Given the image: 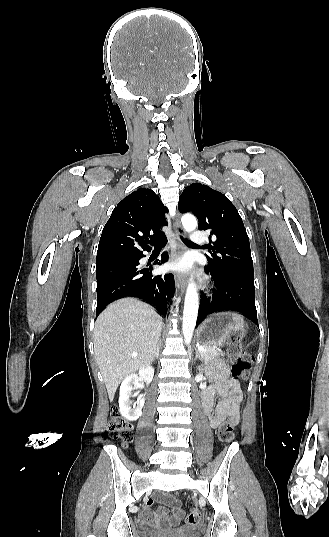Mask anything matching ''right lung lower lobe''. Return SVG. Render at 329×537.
Here are the masks:
<instances>
[{
    "label": "right lung lower lobe",
    "mask_w": 329,
    "mask_h": 537,
    "mask_svg": "<svg viewBox=\"0 0 329 537\" xmlns=\"http://www.w3.org/2000/svg\"><path fill=\"white\" fill-rule=\"evenodd\" d=\"M143 253L124 259L105 260L96 263L97 308L96 317L110 302L123 297H138L157 308L165 316L167 300L175 290L172 274L152 275L153 267H140ZM168 260L167 254L154 264Z\"/></svg>",
    "instance_id": "98d812e1"
}]
</instances>
